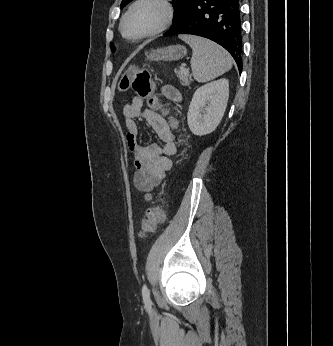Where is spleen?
<instances>
[{"mask_svg": "<svg viewBox=\"0 0 333 346\" xmlns=\"http://www.w3.org/2000/svg\"><path fill=\"white\" fill-rule=\"evenodd\" d=\"M180 38L192 48L191 68L196 81L201 83L209 81L231 69V56L216 43L191 35Z\"/></svg>", "mask_w": 333, "mask_h": 346, "instance_id": "3e777b00", "label": "spleen"}]
</instances>
